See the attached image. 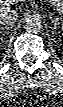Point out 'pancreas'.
I'll return each mask as SVG.
<instances>
[{
    "mask_svg": "<svg viewBox=\"0 0 63 107\" xmlns=\"http://www.w3.org/2000/svg\"><path fill=\"white\" fill-rule=\"evenodd\" d=\"M51 5L59 11H63V1L62 0H52Z\"/></svg>",
    "mask_w": 63,
    "mask_h": 107,
    "instance_id": "pancreas-1",
    "label": "pancreas"
}]
</instances>
